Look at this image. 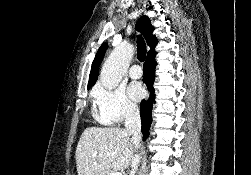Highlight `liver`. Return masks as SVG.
<instances>
[{"label": "liver", "instance_id": "obj_1", "mask_svg": "<svg viewBox=\"0 0 251 175\" xmlns=\"http://www.w3.org/2000/svg\"><path fill=\"white\" fill-rule=\"evenodd\" d=\"M134 143L122 127H86L76 147L78 175H104L131 165Z\"/></svg>", "mask_w": 251, "mask_h": 175}]
</instances>
